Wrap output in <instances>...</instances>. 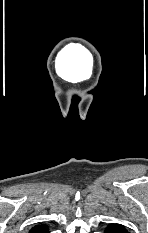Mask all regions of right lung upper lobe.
Here are the masks:
<instances>
[{
  "label": "right lung upper lobe",
  "mask_w": 148,
  "mask_h": 233,
  "mask_svg": "<svg viewBox=\"0 0 148 233\" xmlns=\"http://www.w3.org/2000/svg\"><path fill=\"white\" fill-rule=\"evenodd\" d=\"M30 233H49V231L45 225H36L30 230Z\"/></svg>",
  "instance_id": "cb5924a9"
}]
</instances>
